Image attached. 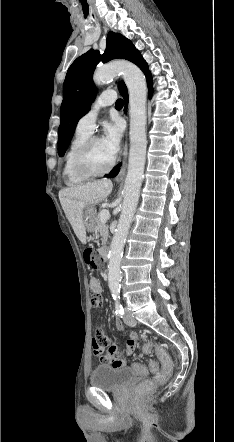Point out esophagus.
<instances>
[{
  "mask_svg": "<svg viewBox=\"0 0 234 442\" xmlns=\"http://www.w3.org/2000/svg\"><path fill=\"white\" fill-rule=\"evenodd\" d=\"M127 155H128V134H126V140H125V145H124V150H123V159H122L121 167L115 177V180L117 182L122 181L125 177L126 168H127Z\"/></svg>",
  "mask_w": 234,
  "mask_h": 442,
  "instance_id": "esophagus-1",
  "label": "esophagus"
}]
</instances>
